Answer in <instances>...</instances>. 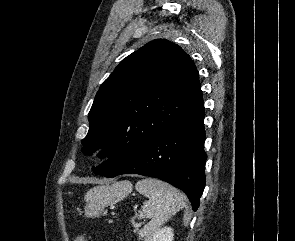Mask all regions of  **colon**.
<instances>
[{"label": "colon", "mask_w": 295, "mask_h": 241, "mask_svg": "<svg viewBox=\"0 0 295 241\" xmlns=\"http://www.w3.org/2000/svg\"><path fill=\"white\" fill-rule=\"evenodd\" d=\"M74 241H87V240L83 237H77Z\"/></svg>", "instance_id": "1"}]
</instances>
